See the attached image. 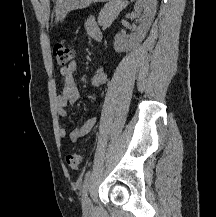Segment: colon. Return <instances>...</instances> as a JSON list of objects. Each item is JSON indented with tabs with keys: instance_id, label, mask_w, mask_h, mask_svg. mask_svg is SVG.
<instances>
[{
	"instance_id": "colon-1",
	"label": "colon",
	"mask_w": 216,
	"mask_h": 217,
	"mask_svg": "<svg viewBox=\"0 0 216 217\" xmlns=\"http://www.w3.org/2000/svg\"><path fill=\"white\" fill-rule=\"evenodd\" d=\"M73 55V48L64 42H57L53 46V56L61 67L67 66L71 62ZM66 162L71 169L78 170L81 165V156L77 152L71 153L67 155Z\"/></svg>"
}]
</instances>
